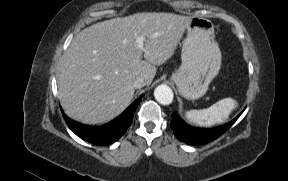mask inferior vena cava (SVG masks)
<instances>
[{"mask_svg": "<svg viewBox=\"0 0 288 181\" xmlns=\"http://www.w3.org/2000/svg\"><path fill=\"white\" fill-rule=\"evenodd\" d=\"M133 86H134V88H137V89L142 88L145 86V80L143 78L139 77V78L134 80Z\"/></svg>", "mask_w": 288, "mask_h": 181, "instance_id": "obj_1", "label": "inferior vena cava"}]
</instances>
